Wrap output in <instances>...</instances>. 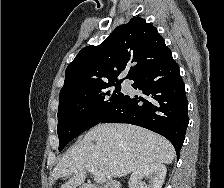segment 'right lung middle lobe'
Listing matches in <instances>:
<instances>
[{"mask_svg":"<svg viewBox=\"0 0 224 188\" xmlns=\"http://www.w3.org/2000/svg\"><path fill=\"white\" fill-rule=\"evenodd\" d=\"M122 81L60 92L58 109L59 151L72 139L97 125L126 95Z\"/></svg>","mask_w":224,"mask_h":188,"instance_id":"1","label":"right lung middle lobe"}]
</instances>
